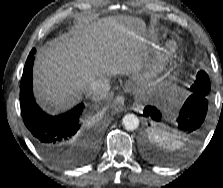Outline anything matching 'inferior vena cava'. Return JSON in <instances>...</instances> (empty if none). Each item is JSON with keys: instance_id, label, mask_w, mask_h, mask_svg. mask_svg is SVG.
<instances>
[{"instance_id": "1", "label": "inferior vena cava", "mask_w": 223, "mask_h": 188, "mask_svg": "<svg viewBox=\"0 0 223 188\" xmlns=\"http://www.w3.org/2000/svg\"><path fill=\"white\" fill-rule=\"evenodd\" d=\"M110 82L107 78H98L86 88V96L93 101H100L107 97Z\"/></svg>"}]
</instances>
